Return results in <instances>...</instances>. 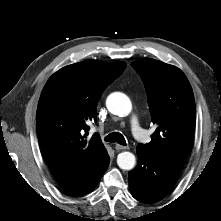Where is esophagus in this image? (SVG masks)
<instances>
[{"label":"esophagus","mask_w":221,"mask_h":221,"mask_svg":"<svg viewBox=\"0 0 221 221\" xmlns=\"http://www.w3.org/2000/svg\"><path fill=\"white\" fill-rule=\"evenodd\" d=\"M128 148H129L128 146H123V145H120V144L115 145L116 150H126Z\"/></svg>","instance_id":"obj_1"}]
</instances>
